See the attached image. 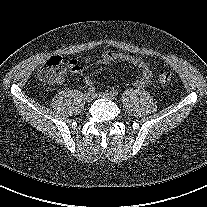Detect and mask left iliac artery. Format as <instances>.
<instances>
[{
    "label": "left iliac artery",
    "mask_w": 207,
    "mask_h": 207,
    "mask_svg": "<svg viewBox=\"0 0 207 207\" xmlns=\"http://www.w3.org/2000/svg\"><path fill=\"white\" fill-rule=\"evenodd\" d=\"M113 96H117L118 95V91L117 90H111L110 92Z\"/></svg>",
    "instance_id": "obj_1"
}]
</instances>
